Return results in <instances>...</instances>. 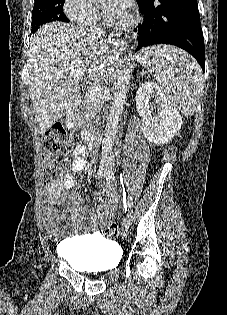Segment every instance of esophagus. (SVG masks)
Returning a JSON list of instances; mask_svg holds the SVG:
<instances>
[{"label":"esophagus","instance_id":"esophagus-1","mask_svg":"<svg viewBox=\"0 0 227 315\" xmlns=\"http://www.w3.org/2000/svg\"><path fill=\"white\" fill-rule=\"evenodd\" d=\"M110 40H112L116 45H120V40L118 39V37L111 35Z\"/></svg>","mask_w":227,"mask_h":315}]
</instances>
